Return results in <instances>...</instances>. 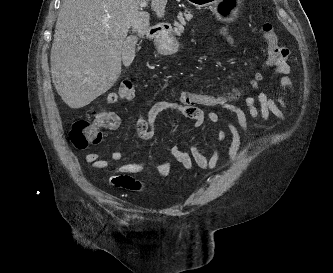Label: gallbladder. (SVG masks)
I'll list each match as a JSON object with an SVG mask.
<instances>
[{
  "mask_svg": "<svg viewBox=\"0 0 333 273\" xmlns=\"http://www.w3.org/2000/svg\"><path fill=\"white\" fill-rule=\"evenodd\" d=\"M137 38L131 36L127 38L122 47V61L124 66L129 67L135 57V45Z\"/></svg>",
  "mask_w": 333,
  "mask_h": 273,
  "instance_id": "obj_1",
  "label": "gallbladder"
}]
</instances>
